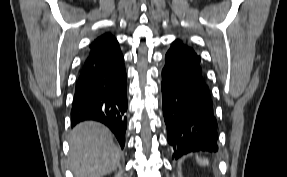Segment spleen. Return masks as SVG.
<instances>
[{
	"label": "spleen",
	"mask_w": 287,
	"mask_h": 177,
	"mask_svg": "<svg viewBox=\"0 0 287 177\" xmlns=\"http://www.w3.org/2000/svg\"><path fill=\"white\" fill-rule=\"evenodd\" d=\"M197 161H198V163L203 164V165H208L209 164V161L206 160V159H200V158L197 157Z\"/></svg>",
	"instance_id": "1"
}]
</instances>
